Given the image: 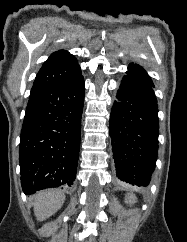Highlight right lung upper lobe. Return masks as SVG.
I'll list each match as a JSON object with an SVG mask.
<instances>
[{"instance_id": "right-lung-upper-lobe-1", "label": "right lung upper lobe", "mask_w": 187, "mask_h": 242, "mask_svg": "<svg viewBox=\"0 0 187 242\" xmlns=\"http://www.w3.org/2000/svg\"><path fill=\"white\" fill-rule=\"evenodd\" d=\"M81 74L77 59L67 51L59 50L50 55L39 70L31 92L50 88L71 81Z\"/></svg>"}]
</instances>
